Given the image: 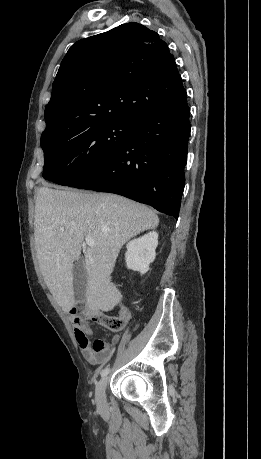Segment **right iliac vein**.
I'll list each match as a JSON object with an SVG mask.
<instances>
[{
  "label": "right iliac vein",
  "instance_id": "1",
  "mask_svg": "<svg viewBox=\"0 0 261 459\" xmlns=\"http://www.w3.org/2000/svg\"><path fill=\"white\" fill-rule=\"evenodd\" d=\"M108 383V377L103 376L100 381L98 382L96 386V392H95V400L97 407L99 409H105L106 408V387Z\"/></svg>",
  "mask_w": 261,
  "mask_h": 459
}]
</instances>
